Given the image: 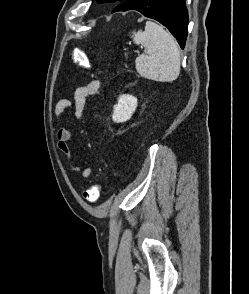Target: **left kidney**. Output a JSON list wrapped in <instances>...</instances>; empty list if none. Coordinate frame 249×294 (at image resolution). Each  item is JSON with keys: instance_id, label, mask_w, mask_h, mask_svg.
<instances>
[{"instance_id": "1", "label": "left kidney", "mask_w": 249, "mask_h": 294, "mask_svg": "<svg viewBox=\"0 0 249 294\" xmlns=\"http://www.w3.org/2000/svg\"><path fill=\"white\" fill-rule=\"evenodd\" d=\"M137 108V98L124 94L118 99V103L114 106L112 119L116 123L129 120Z\"/></svg>"}]
</instances>
